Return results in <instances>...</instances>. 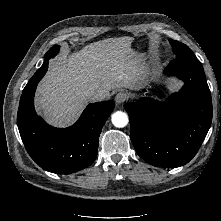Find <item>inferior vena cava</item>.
<instances>
[{
	"label": "inferior vena cava",
	"instance_id": "1",
	"mask_svg": "<svg viewBox=\"0 0 221 221\" xmlns=\"http://www.w3.org/2000/svg\"><path fill=\"white\" fill-rule=\"evenodd\" d=\"M110 96L109 92H107L106 90L103 89H98L96 91H92L89 94V98L92 101H103L105 99H107Z\"/></svg>",
	"mask_w": 221,
	"mask_h": 221
}]
</instances>
